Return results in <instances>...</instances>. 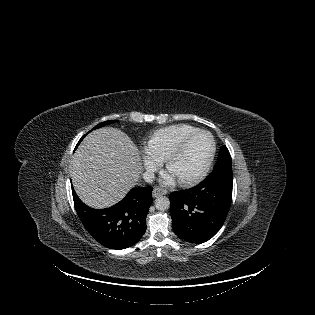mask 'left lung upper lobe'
Listing matches in <instances>:
<instances>
[{"label": "left lung upper lobe", "instance_id": "1", "mask_svg": "<svg viewBox=\"0 0 315 315\" xmlns=\"http://www.w3.org/2000/svg\"><path fill=\"white\" fill-rule=\"evenodd\" d=\"M223 179H233L231 156L227 147L225 146L221 147L213 171L205 180L214 183Z\"/></svg>", "mask_w": 315, "mask_h": 315}]
</instances>
